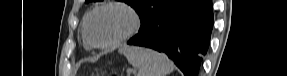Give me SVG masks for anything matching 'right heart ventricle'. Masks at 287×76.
<instances>
[{"instance_id":"1","label":"right heart ventricle","mask_w":287,"mask_h":76,"mask_svg":"<svg viewBox=\"0 0 287 76\" xmlns=\"http://www.w3.org/2000/svg\"><path fill=\"white\" fill-rule=\"evenodd\" d=\"M83 39H84V44L87 48H90L91 46L88 44V42L86 41L85 37L83 36Z\"/></svg>"}]
</instances>
